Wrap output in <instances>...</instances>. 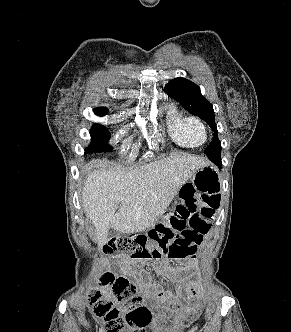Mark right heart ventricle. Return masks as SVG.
Here are the masks:
<instances>
[{"instance_id": "e07e8e85", "label": "right heart ventricle", "mask_w": 291, "mask_h": 332, "mask_svg": "<svg viewBox=\"0 0 291 332\" xmlns=\"http://www.w3.org/2000/svg\"><path fill=\"white\" fill-rule=\"evenodd\" d=\"M166 111L168 133L174 142L183 147H198L204 143L203 125L198 118L175 104H168Z\"/></svg>"}]
</instances>
